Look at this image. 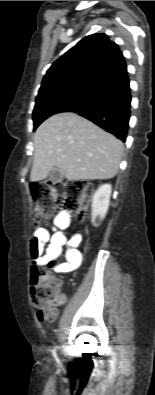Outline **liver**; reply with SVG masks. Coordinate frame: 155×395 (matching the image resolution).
I'll return each instance as SVG.
<instances>
[{"label":"liver","mask_w":155,"mask_h":395,"mask_svg":"<svg viewBox=\"0 0 155 395\" xmlns=\"http://www.w3.org/2000/svg\"><path fill=\"white\" fill-rule=\"evenodd\" d=\"M33 141L32 182L45 179L54 167L68 180L111 179L118 172L123 154L120 140L71 112L45 120Z\"/></svg>","instance_id":"obj_1"}]
</instances>
